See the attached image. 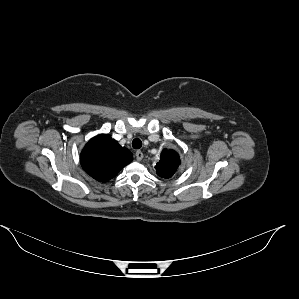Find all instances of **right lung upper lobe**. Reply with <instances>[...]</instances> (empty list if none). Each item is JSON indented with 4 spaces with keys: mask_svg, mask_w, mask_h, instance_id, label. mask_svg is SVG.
Here are the masks:
<instances>
[{
    "mask_svg": "<svg viewBox=\"0 0 299 299\" xmlns=\"http://www.w3.org/2000/svg\"><path fill=\"white\" fill-rule=\"evenodd\" d=\"M132 160V153L106 134L92 138L80 156V163L85 172L100 182H106L116 176Z\"/></svg>",
    "mask_w": 299,
    "mask_h": 299,
    "instance_id": "cb5924a9",
    "label": "right lung upper lobe"
}]
</instances>
